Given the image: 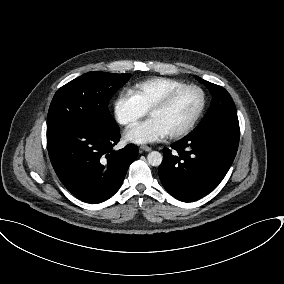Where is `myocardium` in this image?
Wrapping results in <instances>:
<instances>
[{"mask_svg":"<svg viewBox=\"0 0 284 284\" xmlns=\"http://www.w3.org/2000/svg\"><path fill=\"white\" fill-rule=\"evenodd\" d=\"M188 89H195L200 93V95H201L200 106H199L197 112L195 113V115L193 116V118L190 120V122L186 126H184L183 128H181L177 131L168 133V136L171 137V138H181V137L189 134L194 129V127L196 126V124L198 123L200 118L202 117L203 112H204L205 107H206L207 97H206V93H205L204 89L201 86L196 85V84H185L183 86H180V87L172 90L164 98H162L155 105H153L152 108L149 111V113L152 114L154 111L166 108L167 106H169L174 101V99L181 92L188 90Z\"/></svg>","mask_w":284,"mask_h":284,"instance_id":"obj_1","label":"myocardium"}]
</instances>
